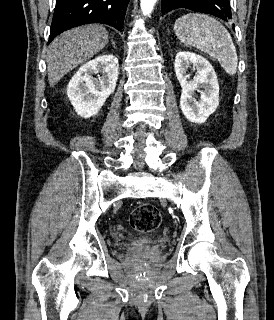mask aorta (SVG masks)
I'll list each match as a JSON object with an SVG mask.
<instances>
[{"label": "aorta", "instance_id": "aorta-1", "mask_svg": "<svg viewBox=\"0 0 274 320\" xmlns=\"http://www.w3.org/2000/svg\"><path fill=\"white\" fill-rule=\"evenodd\" d=\"M156 2L157 0H141L140 5L143 14L149 15L152 12Z\"/></svg>", "mask_w": 274, "mask_h": 320}]
</instances>
